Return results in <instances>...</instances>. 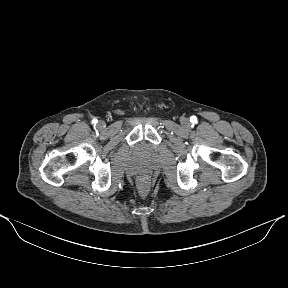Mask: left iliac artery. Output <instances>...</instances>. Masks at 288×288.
Returning <instances> with one entry per match:
<instances>
[{
  "instance_id": "44dca946",
  "label": "left iliac artery",
  "mask_w": 288,
  "mask_h": 288,
  "mask_svg": "<svg viewBox=\"0 0 288 288\" xmlns=\"http://www.w3.org/2000/svg\"><path fill=\"white\" fill-rule=\"evenodd\" d=\"M190 122L196 123V122H197L196 116H192V117L190 118Z\"/></svg>"
}]
</instances>
